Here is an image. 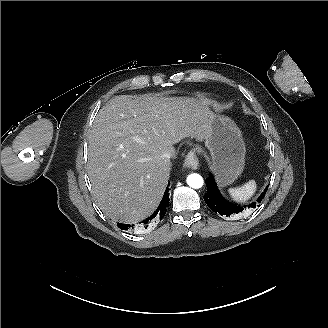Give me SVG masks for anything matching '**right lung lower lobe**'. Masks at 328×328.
I'll return each instance as SVG.
<instances>
[{"label":"right lung lower lobe","mask_w":328,"mask_h":328,"mask_svg":"<svg viewBox=\"0 0 328 328\" xmlns=\"http://www.w3.org/2000/svg\"><path fill=\"white\" fill-rule=\"evenodd\" d=\"M170 197H169V192H168V187L164 193L163 199L157 208V210L146 220L142 221L140 224V227L142 228H147L149 224L157 222L159 219H162L164 215L166 214V209L169 204ZM118 227L122 230H129L134 227V225H128V224H122L118 223Z\"/></svg>","instance_id":"right-lung-lower-lobe-1"}]
</instances>
